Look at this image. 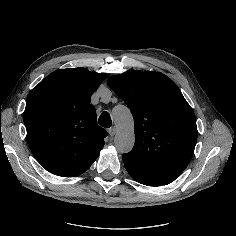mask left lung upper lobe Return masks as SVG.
Here are the masks:
<instances>
[{
  "label": "left lung upper lobe",
  "mask_w": 236,
  "mask_h": 236,
  "mask_svg": "<svg viewBox=\"0 0 236 236\" xmlns=\"http://www.w3.org/2000/svg\"><path fill=\"white\" fill-rule=\"evenodd\" d=\"M134 118L135 144L124 163L169 184L190 162L197 140L194 112L177 85L153 71H131L107 81Z\"/></svg>",
  "instance_id": "obj_1"
}]
</instances>
